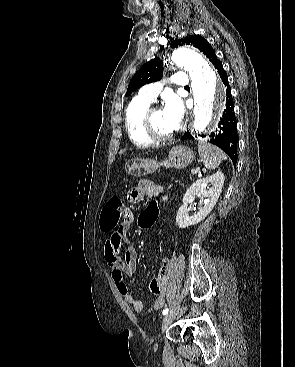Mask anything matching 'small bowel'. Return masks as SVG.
Listing matches in <instances>:
<instances>
[{
    "instance_id": "c3829d8e",
    "label": "small bowel",
    "mask_w": 295,
    "mask_h": 367,
    "mask_svg": "<svg viewBox=\"0 0 295 367\" xmlns=\"http://www.w3.org/2000/svg\"><path fill=\"white\" fill-rule=\"evenodd\" d=\"M148 195L157 196L160 202L165 200L161 186L147 179L141 180L136 187L132 188L128 192V200L131 203H135ZM135 214V208H126L124 221L116 229L104 231L108 233V238L104 246V259L107 265L111 268L112 279L125 302L131 305L136 312H140L143 309V303L133 297L124 281V277H134L138 272L137 250L134 244L127 237L130 227L134 222ZM123 241L127 243L128 247L124 257L122 258L120 255V248ZM170 269L171 261L164 257L161 261L156 277L150 283V289L158 295L151 309H160L165 303V294Z\"/></svg>"
}]
</instances>
